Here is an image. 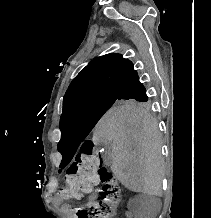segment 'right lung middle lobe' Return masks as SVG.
<instances>
[{
	"instance_id": "obj_1",
	"label": "right lung middle lobe",
	"mask_w": 211,
	"mask_h": 218,
	"mask_svg": "<svg viewBox=\"0 0 211 218\" xmlns=\"http://www.w3.org/2000/svg\"><path fill=\"white\" fill-rule=\"evenodd\" d=\"M148 98H98L79 103L63 111L60 118V143L79 145L102 115L111 109H149Z\"/></svg>"
}]
</instances>
